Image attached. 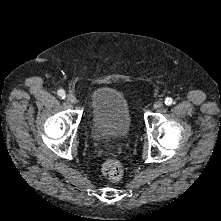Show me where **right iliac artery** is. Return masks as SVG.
Returning <instances> with one entry per match:
<instances>
[{
	"instance_id": "1",
	"label": "right iliac artery",
	"mask_w": 221,
	"mask_h": 221,
	"mask_svg": "<svg viewBox=\"0 0 221 221\" xmlns=\"http://www.w3.org/2000/svg\"><path fill=\"white\" fill-rule=\"evenodd\" d=\"M57 94L61 99H64L66 96L65 91L62 89L58 90Z\"/></svg>"
}]
</instances>
